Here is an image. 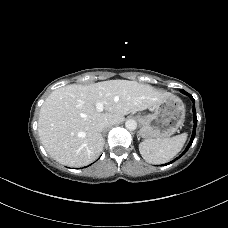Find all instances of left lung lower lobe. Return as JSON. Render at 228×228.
I'll return each instance as SVG.
<instances>
[{"label":"left lung lower lobe","instance_id":"obj_1","mask_svg":"<svg viewBox=\"0 0 228 228\" xmlns=\"http://www.w3.org/2000/svg\"><path fill=\"white\" fill-rule=\"evenodd\" d=\"M184 94L187 95V96H189V97L191 98V100H192L193 103L195 102L194 98H193L190 94H188V93L185 92V91H184ZM193 114H194V127H193V133H192L190 142H189V144L187 145L185 151H184L179 157H177L176 159L180 158L183 154H185V153L187 152V150H188L189 147L192 145V142H193V140H194V138H195V131H196V125H197V117H196V111H195V105H194V104H193ZM176 159H174L173 161H175ZM173 161H172V162H173ZM172 162H170V163H172ZM165 165H168V164H165Z\"/></svg>","mask_w":228,"mask_h":228}]
</instances>
